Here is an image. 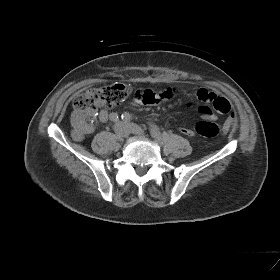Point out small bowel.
Masks as SVG:
<instances>
[{
  "mask_svg": "<svg viewBox=\"0 0 280 280\" xmlns=\"http://www.w3.org/2000/svg\"><path fill=\"white\" fill-rule=\"evenodd\" d=\"M176 87H168L163 90L153 91L151 89H140L135 93V100L140 104L155 105L162 102L169 101L175 98L178 94ZM196 96L199 101L203 103L199 107V113L205 120L213 121L217 118V112L219 114L228 115L225 123L223 124L224 131H227L236 122L235 113L232 111L229 101L213 91L205 88H201L197 91ZM99 120L105 122L110 117V114L106 110L99 112ZM71 122L73 125L72 137L76 141L83 140L84 136L93 131V126L87 123L81 112L75 111L72 114ZM180 132L186 136H194L195 131L190 128H181Z\"/></svg>",
  "mask_w": 280,
  "mask_h": 280,
  "instance_id": "c3829d8e",
  "label": "small bowel"
}]
</instances>
